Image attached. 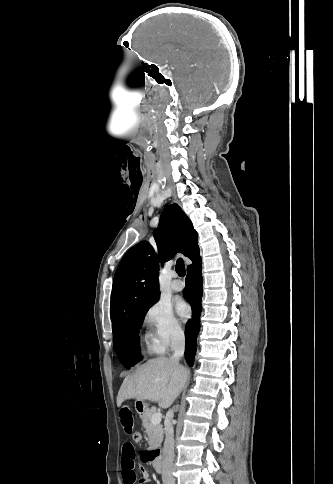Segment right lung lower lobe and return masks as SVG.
Returning <instances> with one entry per match:
<instances>
[{"mask_svg":"<svg viewBox=\"0 0 333 484\" xmlns=\"http://www.w3.org/2000/svg\"><path fill=\"white\" fill-rule=\"evenodd\" d=\"M186 287L184 296L192 307V319L185 328V358L187 363L192 366L197 350V335L200 330L201 298H202V273L201 261L187 268Z\"/></svg>","mask_w":333,"mask_h":484,"instance_id":"right-lung-lower-lobe-1","label":"right lung lower lobe"}]
</instances>
